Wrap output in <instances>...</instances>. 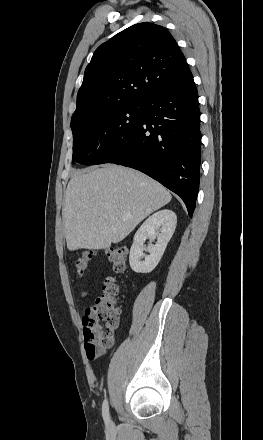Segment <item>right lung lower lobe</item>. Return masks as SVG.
<instances>
[{
  "label": "right lung lower lobe",
  "mask_w": 263,
  "mask_h": 440,
  "mask_svg": "<svg viewBox=\"0 0 263 440\" xmlns=\"http://www.w3.org/2000/svg\"><path fill=\"white\" fill-rule=\"evenodd\" d=\"M143 119L110 152L106 163L137 169L176 193L192 217L200 180V112L189 71L148 96Z\"/></svg>",
  "instance_id": "1"
}]
</instances>
